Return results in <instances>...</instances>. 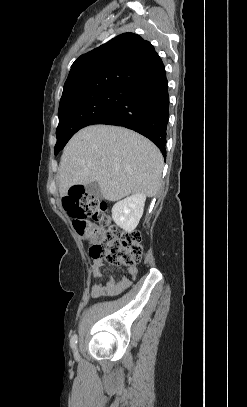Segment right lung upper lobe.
I'll return each instance as SVG.
<instances>
[{
    "mask_svg": "<svg viewBox=\"0 0 247 407\" xmlns=\"http://www.w3.org/2000/svg\"><path fill=\"white\" fill-rule=\"evenodd\" d=\"M163 69L164 64L150 42L134 33L121 34L76 59L59 107L106 88H135Z\"/></svg>",
    "mask_w": 247,
    "mask_h": 407,
    "instance_id": "obj_1",
    "label": "right lung upper lobe"
}]
</instances>
